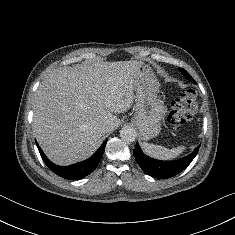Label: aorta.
<instances>
[{
    "mask_svg": "<svg viewBox=\"0 0 235 235\" xmlns=\"http://www.w3.org/2000/svg\"><path fill=\"white\" fill-rule=\"evenodd\" d=\"M136 132L133 128L131 127H124L120 131V137L123 141L127 143L134 142L136 139Z\"/></svg>",
    "mask_w": 235,
    "mask_h": 235,
    "instance_id": "1",
    "label": "aorta"
}]
</instances>
